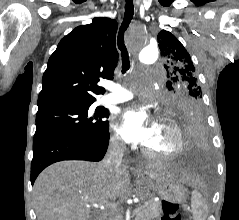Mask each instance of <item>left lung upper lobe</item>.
I'll return each mask as SVG.
<instances>
[{
	"mask_svg": "<svg viewBox=\"0 0 239 220\" xmlns=\"http://www.w3.org/2000/svg\"><path fill=\"white\" fill-rule=\"evenodd\" d=\"M157 38L161 55L165 59L168 111L175 117L185 108H203L202 90L189 53L168 31L162 30Z\"/></svg>",
	"mask_w": 239,
	"mask_h": 220,
	"instance_id": "1",
	"label": "left lung upper lobe"
}]
</instances>
